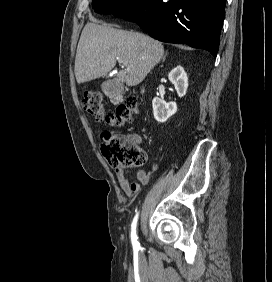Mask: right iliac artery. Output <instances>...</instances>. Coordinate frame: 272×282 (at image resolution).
Listing matches in <instances>:
<instances>
[{"label": "right iliac artery", "instance_id": "1", "mask_svg": "<svg viewBox=\"0 0 272 282\" xmlns=\"http://www.w3.org/2000/svg\"><path fill=\"white\" fill-rule=\"evenodd\" d=\"M137 220H138V213L134 217L132 226H131V242H132L133 248H136V249L140 247V244L137 241V234H136Z\"/></svg>", "mask_w": 272, "mask_h": 282}]
</instances>
